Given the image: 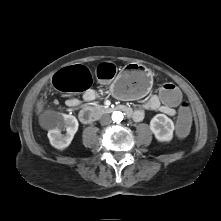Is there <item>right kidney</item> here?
Returning a JSON list of instances; mask_svg holds the SVG:
<instances>
[{"mask_svg":"<svg viewBox=\"0 0 221 221\" xmlns=\"http://www.w3.org/2000/svg\"><path fill=\"white\" fill-rule=\"evenodd\" d=\"M78 120L72 115L58 114L54 120V127L48 131L50 144L56 149L67 148L75 133L78 130ZM66 128V135L61 134V130Z\"/></svg>","mask_w":221,"mask_h":221,"instance_id":"right-kidney-1","label":"right kidney"}]
</instances>
